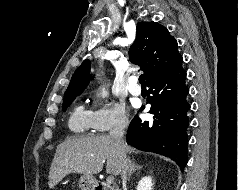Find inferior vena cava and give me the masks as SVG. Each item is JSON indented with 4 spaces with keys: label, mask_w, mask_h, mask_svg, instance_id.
I'll return each mask as SVG.
<instances>
[{
    "label": "inferior vena cava",
    "mask_w": 238,
    "mask_h": 190,
    "mask_svg": "<svg viewBox=\"0 0 238 190\" xmlns=\"http://www.w3.org/2000/svg\"><path fill=\"white\" fill-rule=\"evenodd\" d=\"M127 126L128 120L126 118H121L118 120L113 130L110 131V137L114 140L120 154V162H121L120 175L122 178L124 190H126V173L128 170V159H126L125 141L123 137L125 133V128Z\"/></svg>",
    "instance_id": "obj_1"
}]
</instances>
